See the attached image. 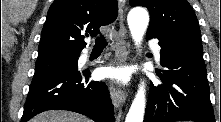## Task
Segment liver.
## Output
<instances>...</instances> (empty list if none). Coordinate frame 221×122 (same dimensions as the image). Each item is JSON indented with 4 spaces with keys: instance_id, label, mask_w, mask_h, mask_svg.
Returning <instances> with one entry per match:
<instances>
[{
    "instance_id": "1",
    "label": "liver",
    "mask_w": 221,
    "mask_h": 122,
    "mask_svg": "<svg viewBox=\"0 0 221 122\" xmlns=\"http://www.w3.org/2000/svg\"><path fill=\"white\" fill-rule=\"evenodd\" d=\"M30 122H90V119L74 112L49 110L35 116Z\"/></svg>"
}]
</instances>
